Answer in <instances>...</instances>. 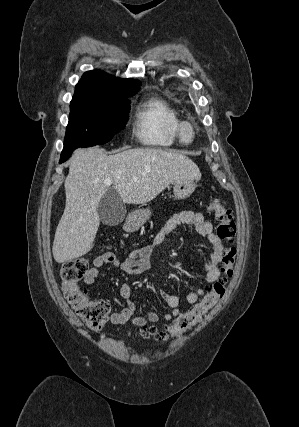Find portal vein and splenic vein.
<instances>
[{
	"mask_svg": "<svg viewBox=\"0 0 299 427\" xmlns=\"http://www.w3.org/2000/svg\"><path fill=\"white\" fill-rule=\"evenodd\" d=\"M133 180H137V178H136V177H133ZM104 184H105L106 186H110V185L112 184V180L107 179V180H105V181H104Z\"/></svg>",
	"mask_w": 299,
	"mask_h": 427,
	"instance_id": "portal-vein-and-splenic-vein-1",
	"label": "portal vein and splenic vein"
}]
</instances>
